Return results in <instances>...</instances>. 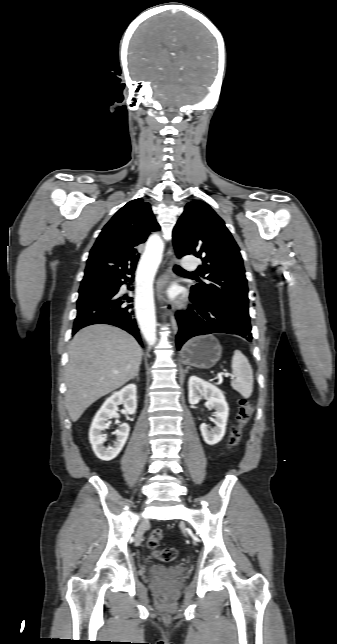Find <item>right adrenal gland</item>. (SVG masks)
Returning <instances> with one entry per match:
<instances>
[{
  "label": "right adrenal gland",
  "instance_id": "obj_1",
  "mask_svg": "<svg viewBox=\"0 0 337 644\" xmlns=\"http://www.w3.org/2000/svg\"><path fill=\"white\" fill-rule=\"evenodd\" d=\"M132 379H137L139 381V371L135 374V376Z\"/></svg>",
  "mask_w": 337,
  "mask_h": 644
}]
</instances>
